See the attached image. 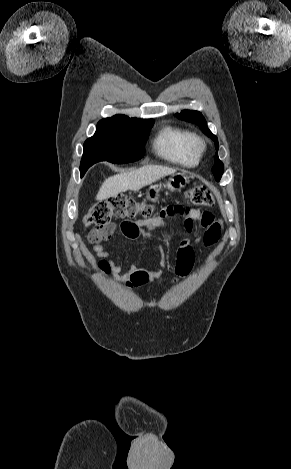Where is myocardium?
<instances>
[{
  "instance_id": "myocardium-1",
  "label": "myocardium",
  "mask_w": 291,
  "mask_h": 469,
  "mask_svg": "<svg viewBox=\"0 0 291 469\" xmlns=\"http://www.w3.org/2000/svg\"><path fill=\"white\" fill-rule=\"evenodd\" d=\"M206 142L201 137H196L193 143L194 152L200 157L206 150Z\"/></svg>"
}]
</instances>
